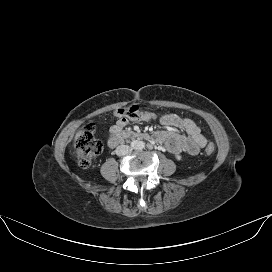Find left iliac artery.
Instances as JSON below:
<instances>
[{"label":"left iliac artery","instance_id":"44dca946","mask_svg":"<svg viewBox=\"0 0 272 272\" xmlns=\"http://www.w3.org/2000/svg\"><path fill=\"white\" fill-rule=\"evenodd\" d=\"M143 148H145V143L140 142L138 145V149H143Z\"/></svg>","mask_w":272,"mask_h":272}]
</instances>
